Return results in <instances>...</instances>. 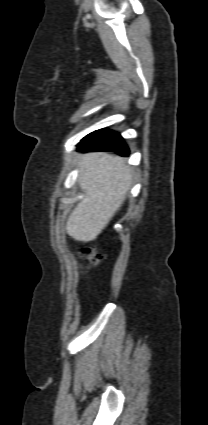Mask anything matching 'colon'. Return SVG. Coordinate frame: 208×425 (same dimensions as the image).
I'll list each match as a JSON object with an SVG mask.
<instances>
[{
	"label": "colon",
	"mask_w": 208,
	"mask_h": 425,
	"mask_svg": "<svg viewBox=\"0 0 208 425\" xmlns=\"http://www.w3.org/2000/svg\"><path fill=\"white\" fill-rule=\"evenodd\" d=\"M81 254L92 266L99 264L105 257L101 251L93 247H84Z\"/></svg>",
	"instance_id": "5ec220e1"
}]
</instances>
